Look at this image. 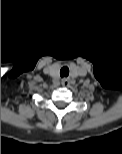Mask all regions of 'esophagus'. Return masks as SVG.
I'll use <instances>...</instances> for the list:
<instances>
[{
    "mask_svg": "<svg viewBox=\"0 0 122 154\" xmlns=\"http://www.w3.org/2000/svg\"><path fill=\"white\" fill-rule=\"evenodd\" d=\"M61 83H62L63 86H68L69 83H70V81H69L68 78H63V79L61 80Z\"/></svg>",
    "mask_w": 122,
    "mask_h": 154,
    "instance_id": "1",
    "label": "esophagus"
}]
</instances>
